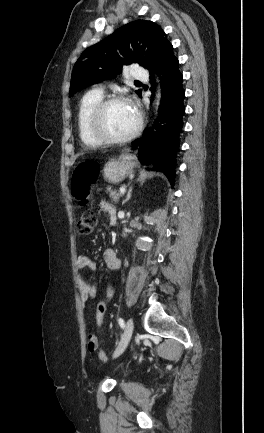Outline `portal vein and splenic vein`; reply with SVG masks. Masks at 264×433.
<instances>
[{
	"label": "portal vein and splenic vein",
	"mask_w": 264,
	"mask_h": 433,
	"mask_svg": "<svg viewBox=\"0 0 264 433\" xmlns=\"http://www.w3.org/2000/svg\"><path fill=\"white\" fill-rule=\"evenodd\" d=\"M119 192L124 194L126 192V188H124V187L120 188Z\"/></svg>",
	"instance_id": "1"
}]
</instances>
